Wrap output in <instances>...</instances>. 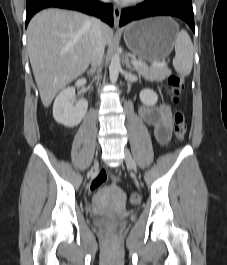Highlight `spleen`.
<instances>
[{
  "label": "spleen",
  "instance_id": "3e777b00",
  "mask_svg": "<svg viewBox=\"0 0 227 265\" xmlns=\"http://www.w3.org/2000/svg\"><path fill=\"white\" fill-rule=\"evenodd\" d=\"M175 57L173 66L182 76L190 74L193 66L194 48L190 36L185 30H181L175 40Z\"/></svg>",
  "mask_w": 227,
  "mask_h": 265
}]
</instances>
